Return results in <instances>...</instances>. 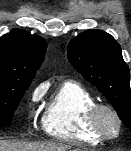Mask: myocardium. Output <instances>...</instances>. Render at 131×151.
I'll return each mask as SVG.
<instances>
[{"label":"myocardium","mask_w":131,"mask_h":151,"mask_svg":"<svg viewBox=\"0 0 131 151\" xmlns=\"http://www.w3.org/2000/svg\"><path fill=\"white\" fill-rule=\"evenodd\" d=\"M103 115L111 116L116 123V131L108 132L102 125ZM87 123L91 131L104 140L116 139L120 136L123 128L122 119L115 108L109 104L95 103L87 114Z\"/></svg>","instance_id":"myocardium-1"}]
</instances>
